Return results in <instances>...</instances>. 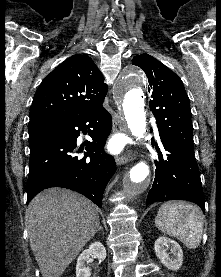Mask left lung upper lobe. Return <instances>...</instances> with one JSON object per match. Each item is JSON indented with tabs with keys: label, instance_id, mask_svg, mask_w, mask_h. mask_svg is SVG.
Segmentation results:
<instances>
[{
	"label": "left lung upper lobe",
	"instance_id": "left-lung-upper-lobe-1",
	"mask_svg": "<svg viewBox=\"0 0 221 277\" xmlns=\"http://www.w3.org/2000/svg\"><path fill=\"white\" fill-rule=\"evenodd\" d=\"M132 64L142 68L147 75L152 98L150 110L156 118L159 133L194 151L190 103L182 80L148 54L135 56Z\"/></svg>",
	"mask_w": 221,
	"mask_h": 277
}]
</instances>
